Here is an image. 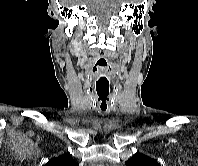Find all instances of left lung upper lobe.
I'll return each instance as SVG.
<instances>
[{
  "label": "left lung upper lobe",
  "instance_id": "left-lung-upper-lobe-1",
  "mask_svg": "<svg viewBox=\"0 0 198 166\" xmlns=\"http://www.w3.org/2000/svg\"><path fill=\"white\" fill-rule=\"evenodd\" d=\"M126 166H161V165L156 160L144 154H136L126 162Z\"/></svg>",
  "mask_w": 198,
  "mask_h": 166
}]
</instances>
